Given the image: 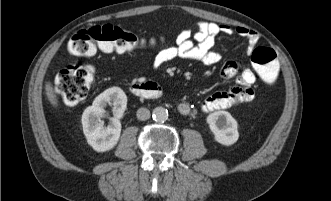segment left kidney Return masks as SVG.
<instances>
[{
	"instance_id": "left-kidney-1",
	"label": "left kidney",
	"mask_w": 331,
	"mask_h": 201,
	"mask_svg": "<svg viewBox=\"0 0 331 201\" xmlns=\"http://www.w3.org/2000/svg\"><path fill=\"white\" fill-rule=\"evenodd\" d=\"M206 120L218 143L230 146L238 140V124L229 112L216 111L209 114Z\"/></svg>"
}]
</instances>
